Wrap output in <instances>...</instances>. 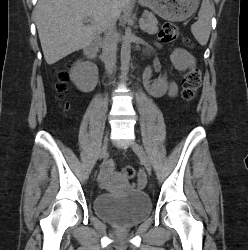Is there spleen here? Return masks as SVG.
I'll use <instances>...</instances> for the list:
<instances>
[{
  "label": "spleen",
  "mask_w": 248,
  "mask_h": 250,
  "mask_svg": "<svg viewBox=\"0 0 248 250\" xmlns=\"http://www.w3.org/2000/svg\"><path fill=\"white\" fill-rule=\"evenodd\" d=\"M213 10V5L209 0H203L198 13V21L191 26V32L200 45H206L208 42Z\"/></svg>",
  "instance_id": "spleen-1"
}]
</instances>
